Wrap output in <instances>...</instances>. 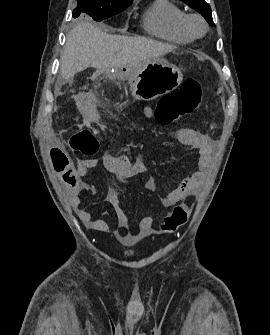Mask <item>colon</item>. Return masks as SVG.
<instances>
[{
    "label": "colon",
    "mask_w": 270,
    "mask_h": 335,
    "mask_svg": "<svg viewBox=\"0 0 270 335\" xmlns=\"http://www.w3.org/2000/svg\"><path fill=\"white\" fill-rule=\"evenodd\" d=\"M201 99L200 85L195 80L187 79L176 89L164 94L157 102L156 108L148 107L147 114L162 125L168 126L181 117L191 113ZM72 151L87 158L94 157L99 152V140L89 129H80L72 133L69 139ZM188 220V208L182 204L174 207L172 213L164 218L163 228L175 231Z\"/></svg>",
    "instance_id": "1"
}]
</instances>
